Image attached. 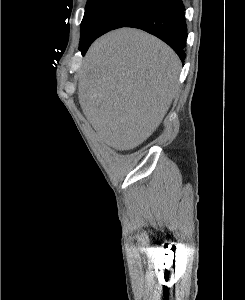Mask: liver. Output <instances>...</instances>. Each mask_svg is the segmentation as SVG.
<instances>
[{"mask_svg":"<svg viewBox=\"0 0 245 300\" xmlns=\"http://www.w3.org/2000/svg\"><path fill=\"white\" fill-rule=\"evenodd\" d=\"M181 66L168 45L138 29L97 39L80 70L78 97L100 139L127 151L150 137L169 110Z\"/></svg>","mask_w":245,"mask_h":300,"instance_id":"6515ba94","label":"liver"}]
</instances>
